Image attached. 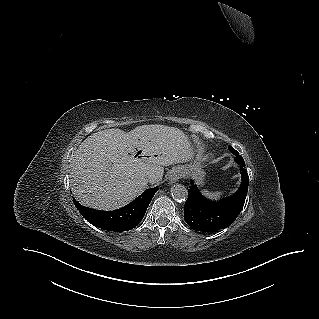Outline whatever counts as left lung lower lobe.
<instances>
[{"label":"left lung lower lobe","instance_id":"0a47b994","mask_svg":"<svg viewBox=\"0 0 319 319\" xmlns=\"http://www.w3.org/2000/svg\"><path fill=\"white\" fill-rule=\"evenodd\" d=\"M238 165L241 167L242 183L237 192L227 199L210 201L201 195L193 180L190 182L184 220L192 229L215 232L230 226L237 218L244 206L249 183L245 162Z\"/></svg>","mask_w":319,"mask_h":319}]
</instances>
